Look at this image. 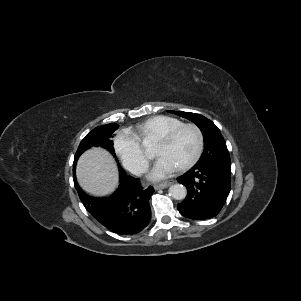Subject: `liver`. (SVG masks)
<instances>
[{"mask_svg": "<svg viewBox=\"0 0 301 301\" xmlns=\"http://www.w3.org/2000/svg\"><path fill=\"white\" fill-rule=\"evenodd\" d=\"M76 176L84 191L94 196L111 193L118 185V170L111 154L102 148L86 151L78 160Z\"/></svg>", "mask_w": 301, "mask_h": 301, "instance_id": "1", "label": "liver"}]
</instances>
